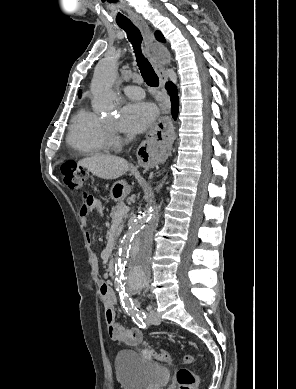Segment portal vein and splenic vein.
<instances>
[{"label": "portal vein and splenic vein", "instance_id": "18ae733b", "mask_svg": "<svg viewBox=\"0 0 296 389\" xmlns=\"http://www.w3.org/2000/svg\"><path fill=\"white\" fill-rule=\"evenodd\" d=\"M129 210H130V208L128 207V206H123V207H121L118 211H117V213H116V215H115V219H122V217L125 215V214H127L128 212H129Z\"/></svg>", "mask_w": 296, "mask_h": 389}]
</instances>
